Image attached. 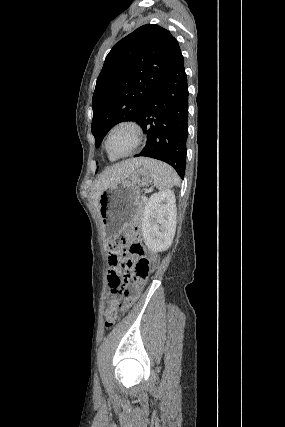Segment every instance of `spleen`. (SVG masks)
Returning a JSON list of instances; mask_svg holds the SVG:
<instances>
[{"label": "spleen", "instance_id": "1", "mask_svg": "<svg viewBox=\"0 0 285 427\" xmlns=\"http://www.w3.org/2000/svg\"><path fill=\"white\" fill-rule=\"evenodd\" d=\"M143 166L148 170L154 181V185L159 190H169L180 184L177 173L168 164L154 159H146Z\"/></svg>", "mask_w": 285, "mask_h": 427}]
</instances>
